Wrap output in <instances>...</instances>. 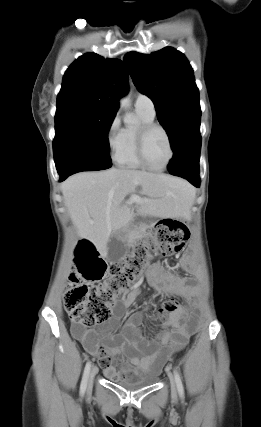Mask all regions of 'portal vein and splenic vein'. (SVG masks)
Returning <instances> with one entry per match:
<instances>
[{"label":"portal vein and splenic vein","instance_id":"obj_1","mask_svg":"<svg viewBox=\"0 0 261 427\" xmlns=\"http://www.w3.org/2000/svg\"><path fill=\"white\" fill-rule=\"evenodd\" d=\"M129 201H130V203H141V202H144L146 200L141 198L140 196H138L136 194H132Z\"/></svg>","mask_w":261,"mask_h":427}]
</instances>
